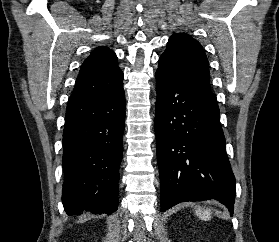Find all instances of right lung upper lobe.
Listing matches in <instances>:
<instances>
[{
	"instance_id": "right-lung-upper-lobe-1",
	"label": "right lung upper lobe",
	"mask_w": 279,
	"mask_h": 242,
	"mask_svg": "<svg viewBox=\"0 0 279 242\" xmlns=\"http://www.w3.org/2000/svg\"><path fill=\"white\" fill-rule=\"evenodd\" d=\"M123 86V73L115 53L108 47L96 48L83 62L68 103L110 94Z\"/></svg>"
}]
</instances>
